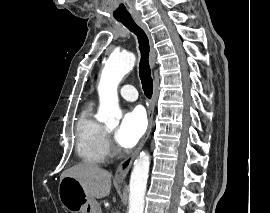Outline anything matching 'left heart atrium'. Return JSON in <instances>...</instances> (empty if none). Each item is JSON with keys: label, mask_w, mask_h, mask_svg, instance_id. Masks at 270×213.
<instances>
[{"label": "left heart atrium", "mask_w": 270, "mask_h": 213, "mask_svg": "<svg viewBox=\"0 0 270 213\" xmlns=\"http://www.w3.org/2000/svg\"><path fill=\"white\" fill-rule=\"evenodd\" d=\"M147 127L145 114L139 108L126 112L116 130L115 139L124 149L134 147L143 136Z\"/></svg>", "instance_id": "left-heart-atrium-1"}]
</instances>
